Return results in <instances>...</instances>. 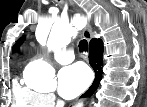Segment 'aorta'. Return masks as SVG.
I'll use <instances>...</instances> for the list:
<instances>
[{"mask_svg":"<svg viewBox=\"0 0 147 107\" xmlns=\"http://www.w3.org/2000/svg\"><path fill=\"white\" fill-rule=\"evenodd\" d=\"M77 32V24L72 25L62 21L55 22L47 41L49 50L65 47ZM27 70L30 73V85L47 90L56 87L55 70L47 62L40 60L33 61L28 64Z\"/></svg>","mask_w":147,"mask_h":107,"instance_id":"762f6f07","label":"aorta"}]
</instances>
